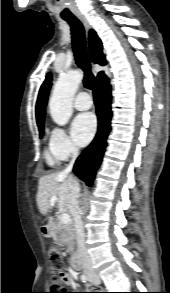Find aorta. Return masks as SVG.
Returning <instances> with one entry per match:
<instances>
[{
    "label": "aorta",
    "instance_id": "aorta-1",
    "mask_svg": "<svg viewBox=\"0 0 170 293\" xmlns=\"http://www.w3.org/2000/svg\"><path fill=\"white\" fill-rule=\"evenodd\" d=\"M82 79L83 73L75 70L62 74L55 83L49 101V109L56 124L63 126L72 116L73 97Z\"/></svg>",
    "mask_w": 170,
    "mask_h": 293
}]
</instances>
